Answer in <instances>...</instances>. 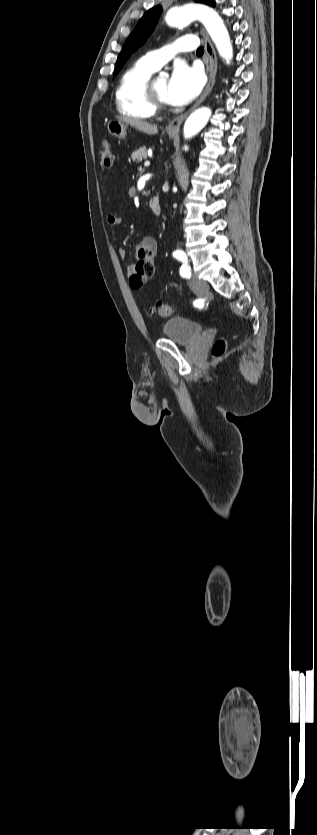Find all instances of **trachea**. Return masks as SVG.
Listing matches in <instances>:
<instances>
[{"mask_svg": "<svg viewBox=\"0 0 317 835\" xmlns=\"http://www.w3.org/2000/svg\"><path fill=\"white\" fill-rule=\"evenodd\" d=\"M196 53H197L198 55H202V54L204 53V49H203V47H199V48L197 49Z\"/></svg>", "mask_w": 317, "mask_h": 835, "instance_id": "trachea-1", "label": "trachea"}]
</instances>
